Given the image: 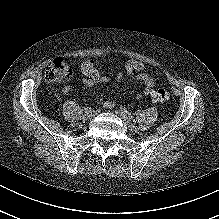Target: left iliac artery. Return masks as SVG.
<instances>
[{
	"label": "left iliac artery",
	"instance_id": "left-iliac-artery-1",
	"mask_svg": "<svg viewBox=\"0 0 219 219\" xmlns=\"http://www.w3.org/2000/svg\"><path fill=\"white\" fill-rule=\"evenodd\" d=\"M122 111L126 116L132 118L131 114L126 109H123Z\"/></svg>",
	"mask_w": 219,
	"mask_h": 219
}]
</instances>
